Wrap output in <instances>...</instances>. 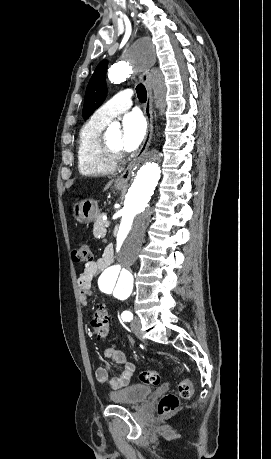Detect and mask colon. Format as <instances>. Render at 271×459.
<instances>
[{"mask_svg": "<svg viewBox=\"0 0 271 459\" xmlns=\"http://www.w3.org/2000/svg\"><path fill=\"white\" fill-rule=\"evenodd\" d=\"M74 262H90L93 259L91 248L87 242H81L72 252ZM91 326L94 333L100 339L107 337L109 333V316L104 305L98 306L93 312ZM140 380L149 385L160 383L161 376L157 371L148 370L140 374ZM178 395L181 398H189L193 392V386L189 379H183L178 385ZM179 406V398L173 393L164 395L158 403V412L160 415H169Z\"/></svg>", "mask_w": 271, "mask_h": 459, "instance_id": "colon-1", "label": "colon"}]
</instances>
